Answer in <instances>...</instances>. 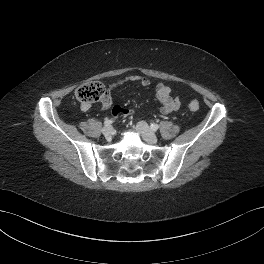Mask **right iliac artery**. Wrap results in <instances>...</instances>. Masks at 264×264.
Returning a JSON list of instances; mask_svg holds the SVG:
<instances>
[{
	"label": "right iliac artery",
	"mask_w": 264,
	"mask_h": 264,
	"mask_svg": "<svg viewBox=\"0 0 264 264\" xmlns=\"http://www.w3.org/2000/svg\"><path fill=\"white\" fill-rule=\"evenodd\" d=\"M112 122H113L112 120H105L104 121V125H106V126L110 125Z\"/></svg>",
	"instance_id": "obj_1"
}]
</instances>
